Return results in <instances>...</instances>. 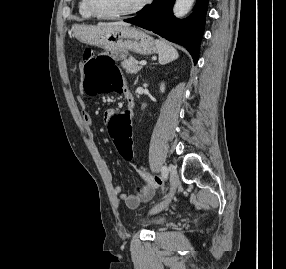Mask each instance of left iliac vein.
Masks as SVG:
<instances>
[{
  "label": "left iliac vein",
  "instance_id": "4c4485c4",
  "mask_svg": "<svg viewBox=\"0 0 286 269\" xmlns=\"http://www.w3.org/2000/svg\"><path fill=\"white\" fill-rule=\"evenodd\" d=\"M169 175H170V182H171V192L169 196L163 202H161L158 206H156L153 209V212H159L163 210L164 208H166L171 202V199L178 187L179 179H178L177 169L173 164L169 165Z\"/></svg>",
  "mask_w": 286,
  "mask_h": 269
}]
</instances>
